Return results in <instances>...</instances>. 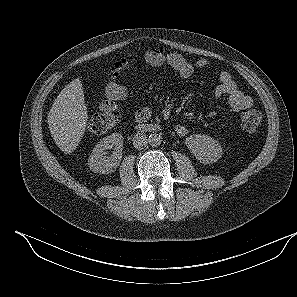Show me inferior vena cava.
Masks as SVG:
<instances>
[{"label": "inferior vena cava", "instance_id": "602c4592", "mask_svg": "<svg viewBox=\"0 0 297 297\" xmlns=\"http://www.w3.org/2000/svg\"><path fill=\"white\" fill-rule=\"evenodd\" d=\"M133 146L136 149H143L148 144V138L143 133H136L133 137Z\"/></svg>", "mask_w": 297, "mask_h": 297}]
</instances>
